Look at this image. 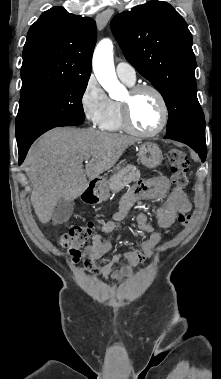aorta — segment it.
Segmentation results:
<instances>
[{"mask_svg":"<svg viewBox=\"0 0 221 379\" xmlns=\"http://www.w3.org/2000/svg\"><path fill=\"white\" fill-rule=\"evenodd\" d=\"M93 71L101 86L111 98H118L123 86L117 79L114 61L113 44L110 39H103L98 43L93 55Z\"/></svg>","mask_w":221,"mask_h":379,"instance_id":"aorta-1","label":"aorta"}]
</instances>
